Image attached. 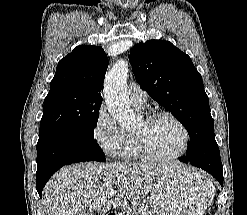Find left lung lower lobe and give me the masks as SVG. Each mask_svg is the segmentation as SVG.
Returning <instances> with one entry per match:
<instances>
[{"label": "left lung lower lobe", "instance_id": "1", "mask_svg": "<svg viewBox=\"0 0 247 215\" xmlns=\"http://www.w3.org/2000/svg\"><path fill=\"white\" fill-rule=\"evenodd\" d=\"M183 163H190L210 173L223 185V170L219 148L215 140L208 139L194 145L190 155L179 159Z\"/></svg>", "mask_w": 247, "mask_h": 215}]
</instances>
